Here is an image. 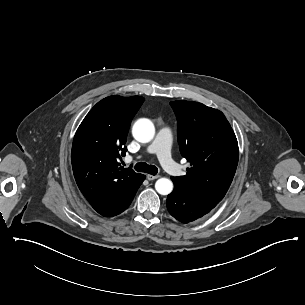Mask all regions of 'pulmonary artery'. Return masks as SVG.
I'll return each instance as SVG.
<instances>
[{"label": "pulmonary artery", "instance_id": "e3ab8cb5", "mask_svg": "<svg viewBox=\"0 0 305 305\" xmlns=\"http://www.w3.org/2000/svg\"><path fill=\"white\" fill-rule=\"evenodd\" d=\"M171 137V131L167 127H162L158 130L156 136L145 148V152L148 154H156L161 159V166L165 172L176 173V175H182V172H176L177 166L172 164V159L169 156L170 141L167 138ZM142 156V153H137V157ZM136 157V154H133ZM129 160L132 158L129 157Z\"/></svg>", "mask_w": 305, "mask_h": 305}]
</instances>
